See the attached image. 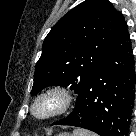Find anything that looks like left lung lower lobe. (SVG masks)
Here are the masks:
<instances>
[{
	"mask_svg": "<svg viewBox=\"0 0 136 136\" xmlns=\"http://www.w3.org/2000/svg\"><path fill=\"white\" fill-rule=\"evenodd\" d=\"M131 41L125 22L101 64L78 93L73 112L52 125L82 127L100 136H128L134 104Z\"/></svg>",
	"mask_w": 136,
	"mask_h": 136,
	"instance_id": "0a47b994",
	"label": "left lung lower lobe"
}]
</instances>
